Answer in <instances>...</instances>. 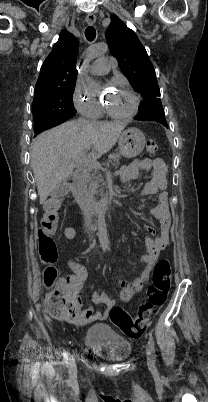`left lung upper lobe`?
<instances>
[{
  "mask_svg": "<svg viewBox=\"0 0 208 402\" xmlns=\"http://www.w3.org/2000/svg\"><path fill=\"white\" fill-rule=\"evenodd\" d=\"M106 38L121 71L144 99L135 119L156 121L167 126L161 100L158 98L160 90L153 65L135 32L113 15Z\"/></svg>",
  "mask_w": 208,
  "mask_h": 402,
  "instance_id": "1",
  "label": "left lung upper lobe"
}]
</instances>
